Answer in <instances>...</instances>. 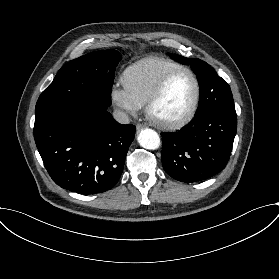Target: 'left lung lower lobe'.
Instances as JSON below:
<instances>
[{
    "instance_id": "1",
    "label": "left lung lower lobe",
    "mask_w": 279,
    "mask_h": 279,
    "mask_svg": "<svg viewBox=\"0 0 279 279\" xmlns=\"http://www.w3.org/2000/svg\"><path fill=\"white\" fill-rule=\"evenodd\" d=\"M237 115L208 111L178 132L162 133L165 172L181 182H196L223 170L230 158Z\"/></svg>"
}]
</instances>
